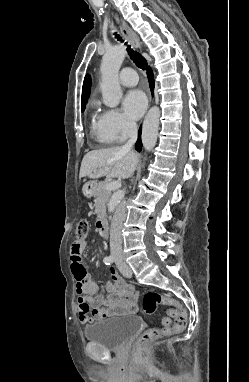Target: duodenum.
<instances>
[{"label":"duodenum","mask_w":249,"mask_h":382,"mask_svg":"<svg viewBox=\"0 0 249 382\" xmlns=\"http://www.w3.org/2000/svg\"><path fill=\"white\" fill-rule=\"evenodd\" d=\"M97 227L102 237L104 238L109 237L108 223L104 218L99 219L97 223Z\"/></svg>","instance_id":"410a0bca"}]
</instances>
